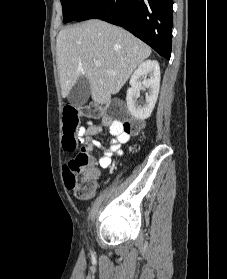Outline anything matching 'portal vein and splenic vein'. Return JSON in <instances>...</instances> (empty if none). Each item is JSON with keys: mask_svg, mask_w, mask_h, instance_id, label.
I'll use <instances>...</instances> for the list:
<instances>
[{"mask_svg": "<svg viewBox=\"0 0 227 279\" xmlns=\"http://www.w3.org/2000/svg\"><path fill=\"white\" fill-rule=\"evenodd\" d=\"M94 64H95L96 67H100L101 66L100 61H94ZM108 72L112 73V74H115V72H113V71H108Z\"/></svg>", "mask_w": 227, "mask_h": 279, "instance_id": "18ae733b", "label": "portal vein and splenic vein"}]
</instances>
